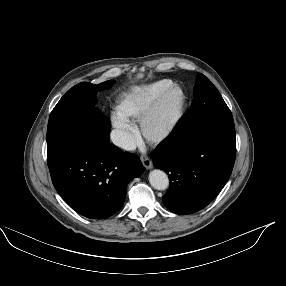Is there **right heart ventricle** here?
Returning <instances> with one entry per match:
<instances>
[{"instance_id":"e07e8e85","label":"right heart ventricle","mask_w":286,"mask_h":286,"mask_svg":"<svg viewBox=\"0 0 286 286\" xmlns=\"http://www.w3.org/2000/svg\"><path fill=\"white\" fill-rule=\"evenodd\" d=\"M171 85L172 80L160 79L130 87L118 100L119 113L128 120H140L153 101Z\"/></svg>"}]
</instances>
